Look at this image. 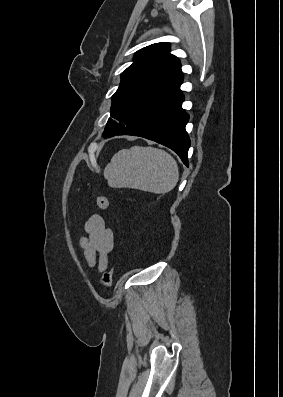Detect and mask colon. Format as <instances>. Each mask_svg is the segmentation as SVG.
Here are the masks:
<instances>
[{
    "label": "colon",
    "mask_w": 283,
    "mask_h": 397,
    "mask_svg": "<svg viewBox=\"0 0 283 397\" xmlns=\"http://www.w3.org/2000/svg\"><path fill=\"white\" fill-rule=\"evenodd\" d=\"M97 205L102 210H107L109 208V201L108 198L105 196H99L97 198ZM114 268L110 269L101 278V284L104 287L111 286L113 279H114Z\"/></svg>",
    "instance_id": "1"
}]
</instances>
